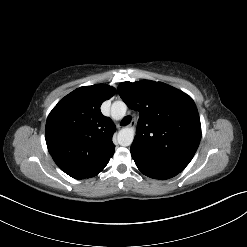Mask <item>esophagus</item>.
<instances>
[{"mask_svg":"<svg viewBox=\"0 0 247 247\" xmlns=\"http://www.w3.org/2000/svg\"><path fill=\"white\" fill-rule=\"evenodd\" d=\"M134 126V122L132 121L129 125H128V127H133Z\"/></svg>","mask_w":247,"mask_h":247,"instance_id":"1","label":"esophagus"}]
</instances>
